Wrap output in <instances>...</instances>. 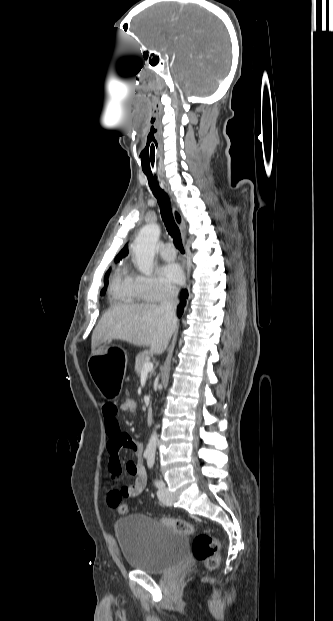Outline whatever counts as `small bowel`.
Instances as JSON below:
<instances>
[{
	"mask_svg": "<svg viewBox=\"0 0 333 621\" xmlns=\"http://www.w3.org/2000/svg\"><path fill=\"white\" fill-rule=\"evenodd\" d=\"M121 407L108 402L102 406L105 431L108 437L107 450L109 453L108 470L110 474V484L107 493V503L110 507L116 508L124 499L133 498L140 495L147 484V474L143 467V444L123 432L118 422V413ZM128 449L134 452L136 459L122 463L120 452ZM127 474L134 478L128 485H119V477Z\"/></svg>",
	"mask_w": 333,
	"mask_h": 621,
	"instance_id": "c3829d8e",
	"label": "small bowel"
}]
</instances>
